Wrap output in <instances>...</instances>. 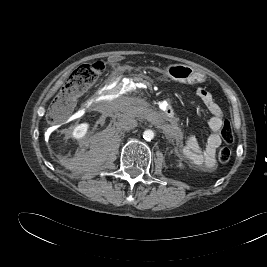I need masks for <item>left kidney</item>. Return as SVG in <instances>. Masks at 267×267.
I'll return each instance as SVG.
<instances>
[{
	"label": "left kidney",
	"mask_w": 267,
	"mask_h": 267,
	"mask_svg": "<svg viewBox=\"0 0 267 267\" xmlns=\"http://www.w3.org/2000/svg\"><path fill=\"white\" fill-rule=\"evenodd\" d=\"M179 167H180V168H183V164H182V163H180V164H179Z\"/></svg>",
	"instance_id": "1"
}]
</instances>
